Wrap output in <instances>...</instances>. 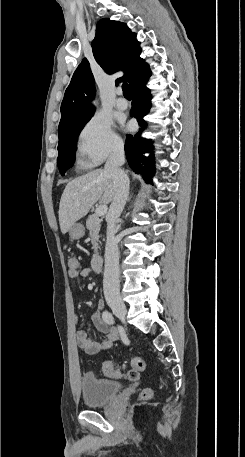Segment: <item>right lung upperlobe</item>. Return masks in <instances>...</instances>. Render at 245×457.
Instances as JSON below:
<instances>
[{"label":"right lung upper lobe","mask_w":245,"mask_h":457,"mask_svg":"<svg viewBox=\"0 0 245 457\" xmlns=\"http://www.w3.org/2000/svg\"><path fill=\"white\" fill-rule=\"evenodd\" d=\"M135 36L126 24L103 18L97 22L96 35L92 42L97 63L109 74L124 71L123 77L117 81H128L130 87L151 73L148 64L139 56L141 48ZM94 92V77L88 60L84 58L65 91L59 128L93 115L94 107L90 101Z\"/></svg>","instance_id":"obj_1"}]
</instances>
